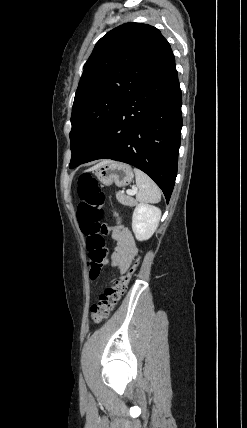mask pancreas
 I'll return each mask as SVG.
<instances>
[{
  "mask_svg": "<svg viewBox=\"0 0 247 428\" xmlns=\"http://www.w3.org/2000/svg\"><path fill=\"white\" fill-rule=\"evenodd\" d=\"M116 198L119 201V203H121L122 205L130 206V207L137 205V201L134 198L130 196H126L121 192L116 193Z\"/></svg>",
  "mask_w": 247,
  "mask_h": 428,
  "instance_id": "pancreas-1",
  "label": "pancreas"
}]
</instances>
